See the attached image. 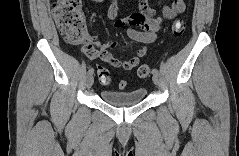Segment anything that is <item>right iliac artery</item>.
<instances>
[{
  "instance_id": "1",
  "label": "right iliac artery",
  "mask_w": 239,
  "mask_h": 156,
  "mask_svg": "<svg viewBox=\"0 0 239 156\" xmlns=\"http://www.w3.org/2000/svg\"><path fill=\"white\" fill-rule=\"evenodd\" d=\"M93 73H94V69L93 68H89L88 75H93Z\"/></svg>"
}]
</instances>
